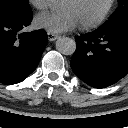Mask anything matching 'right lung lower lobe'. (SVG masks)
Listing matches in <instances>:
<instances>
[{
	"label": "right lung lower lobe",
	"mask_w": 128,
	"mask_h": 128,
	"mask_svg": "<svg viewBox=\"0 0 128 128\" xmlns=\"http://www.w3.org/2000/svg\"><path fill=\"white\" fill-rule=\"evenodd\" d=\"M32 15L14 20L0 19V82L16 84L37 67L47 44L44 30L20 33Z\"/></svg>",
	"instance_id": "obj_1"
}]
</instances>
